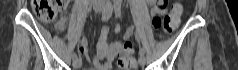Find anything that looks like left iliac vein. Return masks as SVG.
<instances>
[{
  "label": "left iliac vein",
  "mask_w": 238,
  "mask_h": 70,
  "mask_svg": "<svg viewBox=\"0 0 238 70\" xmlns=\"http://www.w3.org/2000/svg\"><path fill=\"white\" fill-rule=\"evenodd\" d=\"M138 62L140 64V66H144L145 65V57H144V55H140L139 56Z\"/></svg>",
  "instance_id": "4c4485c4"
}]
</instances>
